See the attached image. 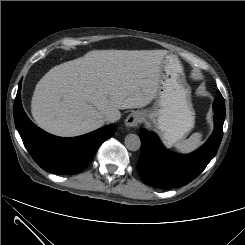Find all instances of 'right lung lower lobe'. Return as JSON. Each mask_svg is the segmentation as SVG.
Returning a JSON list of instances; mask_svg holds the SVG:
<instances>
[{"instance_id":"obj_1","label":"right lung lower lobe","mask_w":245,"mask_h":245,"mask_svg":"<svg viewBox=\"0 0 245 245\" xmlns=\"http://www.w3.org/2000/svg\"><path fill=\"white\" fill-rule=\"evenodd\" d=\"M20 91L21 82L14 102L15 125L35 162L46 171L59 175L79 173L91 162L101 144L116 131L115 125H108L74 138L51 135L28 118Z\"/></svg>"}]
</instances>
